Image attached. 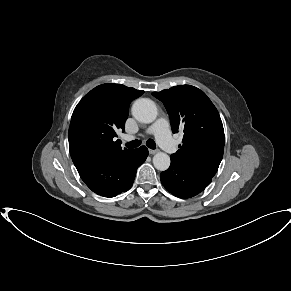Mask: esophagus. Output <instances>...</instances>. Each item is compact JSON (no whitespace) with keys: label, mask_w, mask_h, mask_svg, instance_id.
Listing matches in <instances>:
<instances>
[{"label":"esophagus","mask_w":291,"mask_h":291,"mask_svg":"<svg viewBox=\"0 0 291 291\" xmlns=\"http://www.w3.org/2000/svg\"><path fill=\"white\" fill-rule=\"evenodd\" d=\"M157 152H158V150L149 149V153L151 155L156 154Z\"/></svg>","instance_id":"34e87169"}]
</instances>
